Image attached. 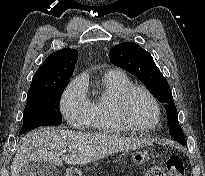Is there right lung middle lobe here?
I'll use <instances>...</instances> for the list:
<instances>
[{
  "mask_svg": "<svg viewBox=\"0 0 205 176\" xmlns=\"http://www.w3.org/2000/svg\"><path fill=\"white\" fill-rule=\"evenodd\" d=\"M67 84L27 97L23 114V126L19 135L40 126H56L62 123L59 101Z\"/></svg>",
  "mask_w": 205,
  "mask_h": 176,
  "instance_id": "dd1d6c3e",
  "label": "right lung middle lobe"
}]
</instances>
